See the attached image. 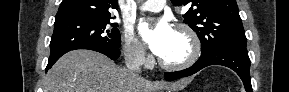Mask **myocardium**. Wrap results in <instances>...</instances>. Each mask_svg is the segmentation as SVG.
Segmentation results:
<instances>
[{"label": "myocardium", "mask_w": 289, "mask_h": 92, "mask_svg": "<svg viewBox=\"0 0 289 92\" xmlns=\"http://www.w3.org/2000/svg\"><path fill=\"white\" fill-rule=\"evenodd\" d=\"M175 30L183 33L188 38L191 51L185 60L177 63H169L162 58H159L160 65L167 70H183L189 68L196 63L201 55V41L191 26L185 23H179L175 26Z\"/></svg>", "instance_id": "myocardium-1"}]
</instances>
